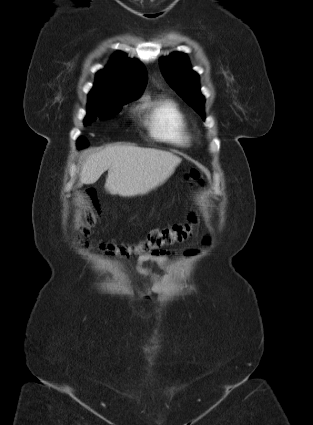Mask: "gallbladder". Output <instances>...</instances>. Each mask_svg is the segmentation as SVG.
Segmentation results:
<instances>
[{
  "label": "gallbladder",
  "mask_w": 313,
  "mask_h": 425,
  "mask_svg": "<svg viewBox=\"0 0 313 425\" xmlns=\"http://www.w3.org/2000/svg\"><path fill=\"white\" fill-rule=\"evenodd\" d=\"M77 185H78V186H80V185H81V183H78Z\"/></svg>",
  "instance_id": "bac80fb5"
}]
</instances>
